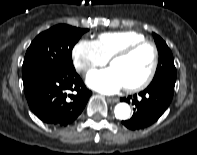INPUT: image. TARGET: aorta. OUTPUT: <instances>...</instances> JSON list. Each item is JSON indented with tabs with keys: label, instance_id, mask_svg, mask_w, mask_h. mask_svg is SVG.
Wrapping results in <instances>:
<instances>
[{
	"label": "aorta",
	"instance_id": "obj_1",
	"mask_svg": "<svg viewBox=\"0 0 197 155\" xmlns=\"http://www.w3.org/2000/svg\"><path fill=\"white\" fill-rule=\"evenodd\" d=\"M115 117L120 120H126L130 117L131 109L127 103H119L115 106Z\"/></svg>",
	"mask_w": 197,
	"mask_h": 155
}]
</instances>
